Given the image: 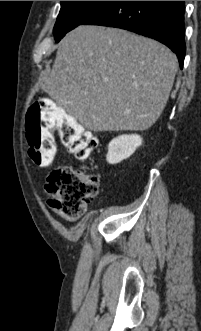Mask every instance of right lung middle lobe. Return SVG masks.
I'll return each mask as SVG.
<instances>
[{
    "label": "right lung middle lobe",
    "instance_id": "dd1d6c3e",
    "mask_svg": "<svg viewBox=\"0 0 201 331\" xmlns=\"http://www.w3.org/2000/svg\"><path fill=\"white\" fill-rule=\"evenodd\" d=\"M110 1H61V10L54 26L56 42L76 26L83 24Z\"/></svg>",
    "mask_w": 201,
    "mask_h": 331
}]
</instances>
